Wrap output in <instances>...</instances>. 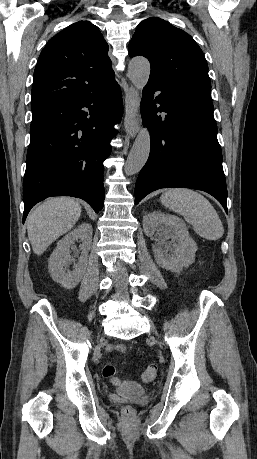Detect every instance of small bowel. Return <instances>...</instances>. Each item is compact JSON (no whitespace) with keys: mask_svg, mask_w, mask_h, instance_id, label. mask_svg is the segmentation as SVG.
Returning a JSON list of instances; mask_svg holds the SVG:
<instances>
[{"mask_svg":"<svg viewBox=\"0 0 257 459\" xmlns=\"http://www.w3.org/2000/svg\"><path fill=\"white\" fill-rule=\"evenodd\" d=\"M113 348L117 349V350H124L125 348L121 345H115L113 346Z\"/></svg>","mask_w":257,"mask_h":459,"instance_id":"1","label":"small bowel"}]
</instances>
